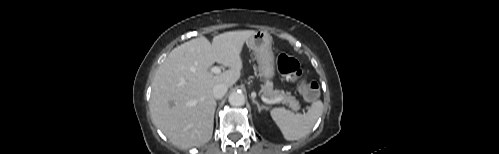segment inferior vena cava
I'll return each mask as SVG.
<instances>
[{
  "label": "inferior vena cava",
  "instance_id": "obj_1",
  "mask_svg": "<svg viewBox=\"0 0 499 154\" xmlns=\"http://www.w3.org/2000/svg\"><path fill=\"white\" fill-rule=\"evenodd\" d=\"M228 90V87L225 85V84H216L214 87H213V96L214 98L216 99H221L227 92Z\"/></svg>",
  "mask_w": 499,
  "mask_h": 154
}]
</instances>
